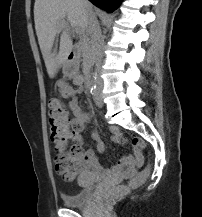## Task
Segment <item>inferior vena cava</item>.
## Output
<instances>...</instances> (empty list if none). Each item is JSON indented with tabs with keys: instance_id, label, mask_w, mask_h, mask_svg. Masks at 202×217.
Masks as SVG:
<instances>
[{
	"instance_id": "obj_1",
	"label": "inferior vena cava",
	"mask_w": 202,
	"mask_h": 217,
	"mask_svg": "<svg viewBox=\"0 0 202 217\" xmlns=\"http://www.w3.org/2000/svg\"><path fill=\"white\" fill-rule=\"evenodd\" d=\"M80 2L84 6L87 13V32L90 35L92 48L95 53L96 71L99 73L104 56V41L101 28L88 0H80ZM95 83L97 85H102V79L99 75H97Z\"/></svg>"
}]
</instances>
